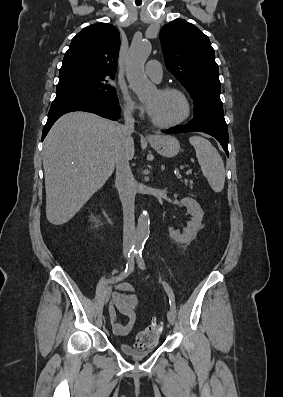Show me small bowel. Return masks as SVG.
I'll return each instance as SVG.
<instances>
[{"label": "small bowel", "instance_id": "c3829d8e", "mask_svg": "<svg viewBox=\"0 0 283 397\" xmlns=\"http://www.w3.org/2000/svg\"><path fill=\"white\" fill-rule=\"evenodd\" d=\"M141 305L142 300L136 296L135 288L131 283L123 282L116 286L109 307L112 330L116 336H125L130 332L136 321V312ZM117 311L128 317L126 324L117 322Z\"/></svg>", "mask_w": 283, "mask_h": 397}]
</instances>
